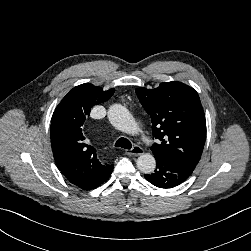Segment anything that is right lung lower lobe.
I'll list each match as a JSON object with an SVG mask.
<instances>
[{
  "label": "right lung lower lobe",
  "mask_w": 251,
  "mask_h": 251,
  "mask_svg": "<svg viewBox=\"0 0 251 251\" xmlns=\"http://www.w3.org/2000/svg\"><path fill=\"white\" fill-rule=\"evenodd\" d=\"M112 171H113V166H111L107 171H105L104 174H102L96 181H94L93 183H91L90 185H88L87 187H85L83 189L90 190V189H93V188L100 186L102 183H104L109 178Z\"/></svg>",
  "instance_id": "98d812e1"
}]
</instances>
